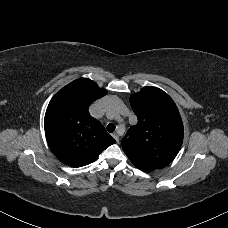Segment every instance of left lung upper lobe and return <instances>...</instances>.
Wrapping results in <instances>:
<instances>
[{"label": "left lung upper lobe", "mask_w": 228, "mask_h": 228, "mask_svg": "<svg viewBox=\"0 0 228 228\" xmlns=\"http://www.w3.org/2000/svg\"><path fill=\"white\" fill-rule=\"evenodd\" d=\"M138 123L122 140L130 161L143 171L161 169L176 157L183 141V123L171 97L156 87H144L130 97Z\"/></svg>", "instance_id": "5c2ea615"}]
</instances>
